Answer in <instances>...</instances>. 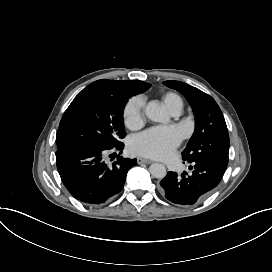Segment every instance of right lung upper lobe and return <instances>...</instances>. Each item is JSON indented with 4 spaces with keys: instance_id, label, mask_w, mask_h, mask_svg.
<instances>
[{
    "instance_id": "obj_1",
    "label": "right lung upper lobe",
    "mask_w": 272,
    "mask_h": 272,
    "mask_svg": "<svg viewBox=\"0 0 272 272\" xmlns=\"http://www.w3.org/2000/svg\"><path fill=\"white\" fill-rule=\"evenodd\" d=\"M139 80H97L89 84L86 89H101V90H123L136 91L139 87Z\"/></svg>"
}]
</instances>
